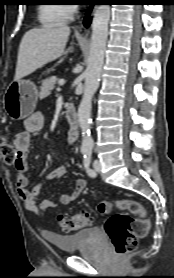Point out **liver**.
Here are the masks:
<instances>
[{
	"instance_id": "6515ba94",
	"label": "liver",
	"mask_w": 174,
	"mask_h": 278,
	"mask_svg": "<svg viewBox=\"0 0 174 278\" xmlns=\"http://www.w3.org/2000/svg\"><path fill=\"white\" fill-rule=\"evenodd\" d=\"M70 28L66 25L33 28L19 45L14 81H18L43 65L58 59L64 52Z\"/></svg>"
}]
</instances>
